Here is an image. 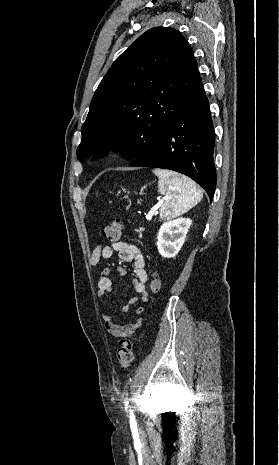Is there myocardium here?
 Wrapping results in <instances>:
<instances>
[{"instance_id":"obj_1","label":"myocardium","mask_w":279,"mask_h":465,"mask_svg":"<svg viewBox=\"0 0 279 465\" xmlns=\"http://www.w3.org/2000/svg\"><path fill=\"white\" fill-rule=\"evenodd\" d=\"M115 150H116V147H111V148H109L108 152L113 153Z\"/></svg>"}]
</instances>
